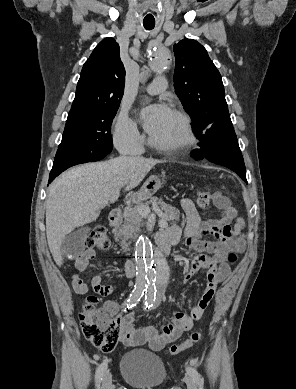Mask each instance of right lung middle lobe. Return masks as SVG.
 Returning <instances> with one entry per match:
<instances>
[{
  "label": "right lung middle lobe",
  "instance_id": "obj_1",
  "mask_svg": "<svg viewBox=\"0 0 296 389\" xmlns=\"http://www.w3.org/2000/svg\"><path fill=\"white\" fill-rule=\"evenodd\" d=\"M119 106L97 108L83 117L67 120L54 169L99 161L112 151L111 124Z\"/></svg>",
  "mask_w": 296,
  "mask_h": 389
}]
</instances>
